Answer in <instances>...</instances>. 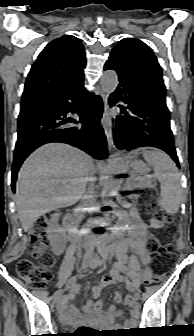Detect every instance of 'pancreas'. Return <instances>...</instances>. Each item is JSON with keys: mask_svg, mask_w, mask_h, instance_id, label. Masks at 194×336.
<instances>
[{"mask_svg": "<svg viewBox=\"0 0 194 336\" xmlns=\"http://www.w3.org/2000/svg\"><path fill=\"white\" fill-rule=\"evenodd\" d=\"M131 187L145 188L152 186V177H138L135 180L132 179Z\"/></svg>", "mask_w": 194, "mask_h": 336, "instance_id": "obj_1", "label": "pancreas"}]
</instances>
